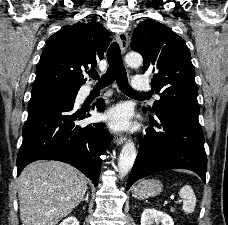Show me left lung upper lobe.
I'll list each match as a JSON object with an SVG mask.
<instances>
[{
	"label": "left lung upper lobe",
	"mask_w": 228,
	"mask_h": 225,
	"mask_svg": "<svg viewBox=\"0 0 228 225\" xmlns=\"http://www.w3.org/2000/svg\"><path fill=\"white\" fill-rule=\"evenodd\" d=\"M131 48L142 55V71L153 74L151 85L160 96L150 112L163 107L199 112L195 71L190 52L180 36L164 24L147 19L135 28Z\"/></svg>",
	"instance_id": "5c2ea615"
}]
</instances>
